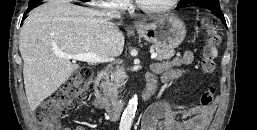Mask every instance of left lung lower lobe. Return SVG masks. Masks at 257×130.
Here are the masks:
<instances>
[{
  "label": "left lung lower lobe",
  "instance_id": "obj_1",
  "mask_svg": "<svg viewBox=\"0 0 257 130\" xmlns=\"http://www.w3.org/2000/svg\"><path fill=\"white\" fill-rule=\"evenodd\" d=\"M202 5H204V8L210 10L214 15H216L217 17H219L225 24V18L224 15L220 9V4L218 2H201Z\"/></svg>",
  "mask_w": 257,
  "mask_h": 130
}]
</instances>
